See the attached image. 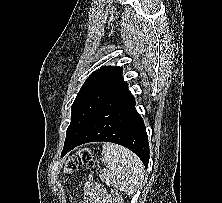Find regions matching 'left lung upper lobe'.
Here are the masks:
<instances>
[{
  "label": "left lung upper lobe",
  "instance_id": "left-lung-upper-lobe-1",
  "mask_svg": "<svg viewBox=\"0 0 222 203\" xmlns=\"http://www.w3.org/2000/svg\"><path fill=\"white\" fill-rule=\"evenodd\" d=\"M125 83L122 67L117 66H103L87 78L72 104L71 122L64 145L82 132L101 105Z\"/></svg>",
  "mask_w": 222,
  "mask_h": 203
}]
</instances>
